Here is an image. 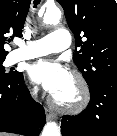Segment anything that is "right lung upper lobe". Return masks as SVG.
Here are the masks:
<instances>
[{"mask_svg": "<svg viewBox=\"0 0 117 136\" xmlns=\"http://www.w3.org/2000/svg\"><path fill=\"white\" fill-rule=\"evenodd\" d=\"M30 3L31 0H0V58L8 53L4 44L10 42L12 36H22Z\"/></svg>", "mask_w": 117, "mask_h": 136, "instance_id": "1", "label": "right lung upper lobe"}]
</instances>
